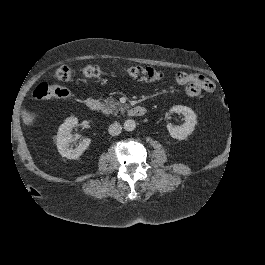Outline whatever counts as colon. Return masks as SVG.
<instances>
[{
  "label": "colon",
  "instance_id": "obj_1",
  "mask_svg": "<svg viewBox=\"0 0 265 265\" xmlns=\"http://www.w3.org/2000/svg\"><path fill=\"white\" fill-rule=\"evenodd\" d=\"M124 71L133 78L142 81H156L163 78V73L151 67L131 66L124 68ZM81 73L85 77L92 78L101 76L104 71L96 65H88L81 70ZM53 76L56 80L68 81L72 77V70L68 66H61L54 71ZM69 96L68 89L45 82L38 84L33 91V97L36 100L67 99Z\"/></svg>",
  "mask_w": 265,
  "mask_h": 265
}]
</instances>
